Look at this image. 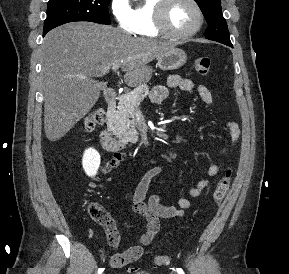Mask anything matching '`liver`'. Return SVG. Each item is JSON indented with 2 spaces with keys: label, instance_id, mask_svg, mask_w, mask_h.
I'll return each instance as SVG.
<instances>
[{
  "label": "liver",
  "instance_id": "liver-1",
  "mask_svg": "<svg viewBox=\"0 0 289 274\" xmlns=\"http://www.w3.org/2000/svg\"><path fill=\"white\" fill-rule=\"evenodd\" d=\"M173 48L91 22L68 23L47 33L41 50L48 140L65 136L98 101L100 87L94 77L108 74L113 64H119L128 86L142 85L152 74L147 64Z\"/></svg>",
  "mask_w": 289,
  "mask_h": 274
}]
</instances>
